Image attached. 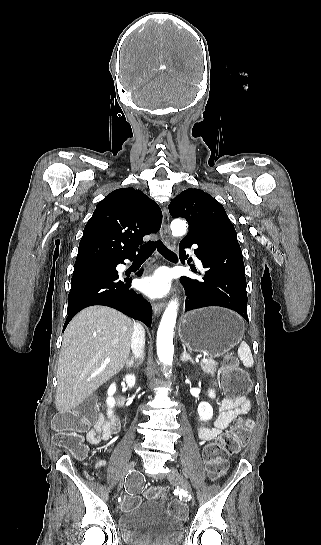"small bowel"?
I'll return each instance as SVG.
<instances>
[{"label": "small bowel", "mask_w": 321, "mask_h": 545, "mask_svg": "<svg viewBox=\"0 0 321 545\" xmlns=\"http://www.w3.org/2000/svg\"><path fill=\"white\" fill-rule=\"evenodd\" d=\"M250 409L251 402L245 396L237 398L226 397L222 399L218 405V415L214 421V426H200L198 431L199 439L205 442L214 440L221 434L222 430L231 424L232 421L239 415L249 412ZM114 431L115 428L100 416L88 431L87 439L91 444H99L108 441ZM105 464L106 460H98L95 462L97 467L104 466Z\"/></svg>", "instance_id": "1"}]
</instances>
